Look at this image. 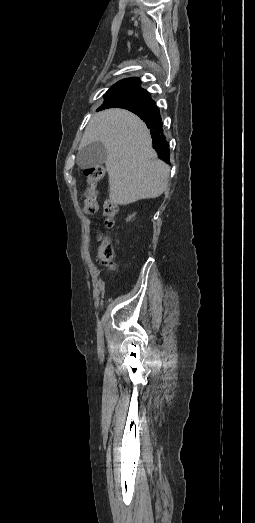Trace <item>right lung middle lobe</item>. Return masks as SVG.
Returning a JSON list of instances; mask_svg holds the SVG:
<instances>
[{
  "label": "right lung middle lobe",
  "mask_w": 255,
  "mask_h": 523,
  "mask_svg": "<svg viewBox=\"0 0 255 523\" xmlns=\"http://www.w3.org/2000/svg\"><path fill=\"white\" fill-rule=\"evenodd\" d=\"M106 99L120 102H143L147 100V93L142 90H128L121 92H107Z\"/></svg>",
  "instance_id": "right-lung-middle-lobe-1"
}]
</instances>
